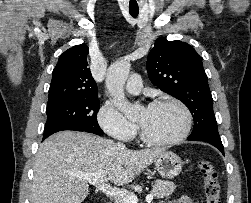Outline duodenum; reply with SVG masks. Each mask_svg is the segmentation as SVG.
I'll return each mask as SVG.
<instances>
[{
    "label": "duodenum",
    "mask_w": 251,
    "mask_h": 203,
    "mask_svg": "<svg viewBox=\"0 0 251 203\" xmlns=\"http://www.w3.org/2000/svg\"><path fill=\"white\" fill-rule=\"evenodd\" d=\"M105 203H111L110 201H106Z\"/></svg>",
    "instance_id": "410a0bca"
}]
</instances>
